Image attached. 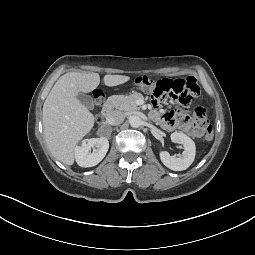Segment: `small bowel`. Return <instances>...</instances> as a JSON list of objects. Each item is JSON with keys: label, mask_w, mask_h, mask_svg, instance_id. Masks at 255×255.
<instances>
[{"label": "small bowel", "mask_w": 255, "mask_h": 255, "mask_svg": "<svg viewBox=\"0 0 255 255\" xmlns=\"http://www.w3.org/2000/svg\"><path fill=\"white\" fill-rule=\"evenodd\" d=\"M152 117L160 120L168 131L179 130L192 137H200L204 131V126L194 122L180 110L166 111L163 114L155 110L152 112Z\"/></svg>", "instance_id": "1"}]
</instances>
